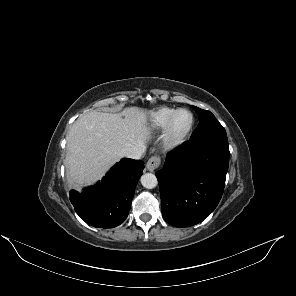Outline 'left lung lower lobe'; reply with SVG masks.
Segmentation results:
<instances>
[{"label": "left lung lower lobe", "instance_id": "0a47b994", "mask_svg": "<svg viewBox=\"0 0 296 296\" xmlns=\"http://www.w3.org/2000/svg\"><path fill=\"white\" fill-rule=\"evenodd\" d=\"M229 155L227 135L189 140L167 155L156 173L167 223L193 226L214 211L223 194Z\"/></svg>", "mask_w": 296, "mask_h": 296}]
</instances>
